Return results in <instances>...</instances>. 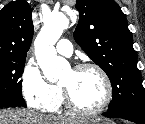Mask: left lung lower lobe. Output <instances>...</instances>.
I'll return each mask as SVG.
<instances>
[{"instance_id": "0a47b994", "label": "left lung lower lobe", "mask_w": 145, "mask_h": 124, "mask_svg": "<svg viewBox=\"0 0 145 124\" xmlns=\"http://www.w3.org/2000/svg\"><path fill=\"white\" fill-rule=\"evenodd\" d=\"M105 117H116L132 121L136 124H145V113L134 109H120L108 111L103 114Z\"/></svg>"}]
</instances>
